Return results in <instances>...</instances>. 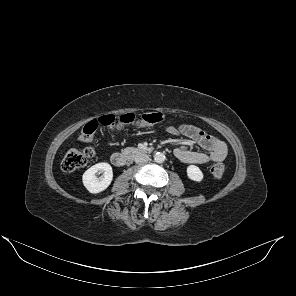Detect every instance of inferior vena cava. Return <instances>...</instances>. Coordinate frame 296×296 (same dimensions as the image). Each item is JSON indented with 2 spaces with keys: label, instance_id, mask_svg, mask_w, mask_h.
Wrapping results in <instances>:
<instances>
[{
  "label": "inferior vena cava",
  "instance_id": "1",
  "mask_svg": "<svg viewBox=\"0 0 296 296\" xmlns=\"http://www.w3.org/2000/svg\"><path fill=\"white\" fill-rule=\"evenodd\" d=\"M134 160L138 164L146 163L149 161V156L145 153H139L135 155Z\"/></svg>",
  "mask_w": 296,
  "mask_h": 296
}]
</instances>
